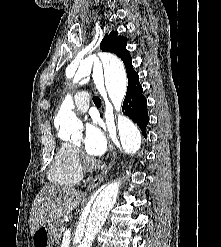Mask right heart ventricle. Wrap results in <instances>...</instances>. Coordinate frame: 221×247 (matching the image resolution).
Segmentation results:
<instances>
[{
    "label": "right heart ventricle",
    "instance_id": "e07e8e85",
    "mask_svg": "<svg viewBox=\"0 0 221 247\" xmlns=\"http://www.w3.org/2000/svg\"><path fill=\"white\" fill-rule=\"evenodd\" d=\"M81 175L76 149L69 143H61L48 172L49 180L57 185L72 186L80 181Z\"/></svg>",
    "mask_w": 221,
    "mask_h": 247
}]
</instances>
